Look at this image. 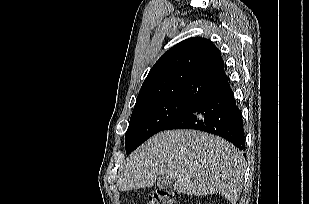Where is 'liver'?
<instances>
[{"label":"liver","instance_id":"obj_1","mask_svg":"<svg viewBox=\"0 0 309 204\" xmlns=\"http://www.w3.org/2000/svg\"><path fill=\"white\" fill-rule=\"evenodd\" d=\"M244 172L242 153L228 141L196 130H169L154 135L127 158L117 186L124 192L137 190L167 176L177 192L220 194L235 204Z\"/></svg>","mask_w":309,"mask_h":204}]
</instances>
